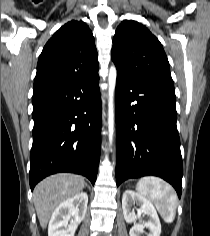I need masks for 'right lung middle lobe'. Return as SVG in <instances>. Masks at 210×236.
<instances>
[{
    "label": "right lung middle lobe",
    "mask_w": 210,
    "mask_h": 236,
    "mask_svg": "<svg viewBox=\"0 0 210 236\" xmlns=\"http://www.w3.org/2000/svg\"><path fill=\"white\" fill-rule=\"evenodd\" d=\"M49 92H51V91H48V90H37V91H34L32 99L40 97V96H43V95H45V94H47Z\"/></svg>",
    "instance_id": "right-lung-middle-lobe-1"
}]
</instances>
